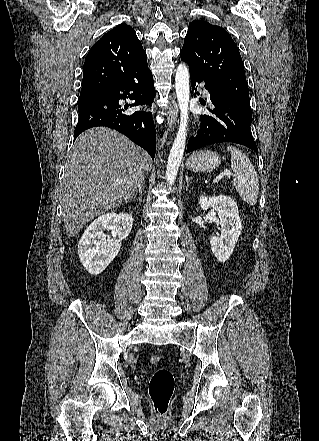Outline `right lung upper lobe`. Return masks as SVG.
<instances>
[{
    "mask_svg": "<svg viewBox=\"0 0 319 441\" xmlns=\"http://www.w3.org/2000/svg\"><path fill=\"white\" fill-rule=\"evenodd\" d=\"M148 70L147 55L134 29L119 24L89 50L79 103Z\"/></svg>",
    "mask_w": 319,
    "mask_h": 441,
    "instance_id": "1",
    "label": "right lung upper lobe"
}]
</instances>
